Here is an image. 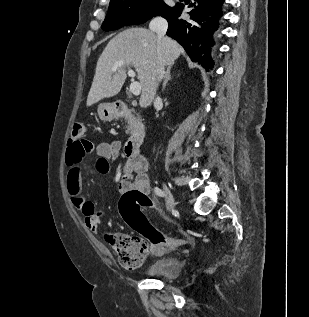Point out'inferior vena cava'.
Masks as SVG:
<instances>
[{
	"mask_svg": "<svg viewBox=\"0 0 309 317\" xmlns=\"http://www.w3.org/2000/svg\"><path fill=\"white\" fill-rule=\"evenodd\" d=\"M149 28L151 31L156 32L159 41L163 40L168 28V23L165 19L157 17L150 22ZM165 68L162 63H160L157 69V84L162 80ZM161 101L160 97L155 98V102Z\"/></svg>",
	"mask_w": 309,
	"mask_h": 317,
	"instance_id": "obj_1",
	"label": "inferior vena cava"
}]
</instances>
